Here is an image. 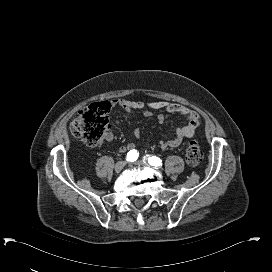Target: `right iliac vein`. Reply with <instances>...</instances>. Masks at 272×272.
Instances as JSON below:
<instances>
[{"mask_svg":"<svg viewBox=\"0 0 272 272\" xmlns=\"http://www.w3.org/2000/svg\"><path fill=\"white\" fill-rule=\"evenodd\" d=\"M125 165H126V162H125V161H119V162H117V163L115 164L114 169H115L116 172H120V171L123 170V168L125 167Z\"/></svg>","mask_w":272,"mask_h":272,"instance_id":"right-iliac-vein-1","label":"right iliac vein"}]
</instances>
